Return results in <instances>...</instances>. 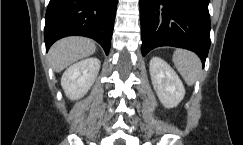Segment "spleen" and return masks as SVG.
<instances>
[{
	"label": "spleen",
	"mask_w": 243,
	"mask_h": 145,
	"mask_svg": "<svg viewBox=\"0 0 243 145\" xmlns=\"http://www.w3.org/2000/svg\"><path fill=\"white\" fill-rule=\"evenodd\" d=\"M173 63L189 86L195 83L202 71L199 57L188 50L176 49L173 54Z\"/></svg>",
	"instance_id": "3e777b00"
}]
</instances>
